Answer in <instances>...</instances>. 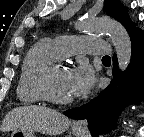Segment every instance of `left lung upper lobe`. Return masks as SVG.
I'll list each match as a JSON object with an SVG mask.
<instances>
[{"label":"left lung upper lobe","mask_w":144,"mask_h":137,"mask_svg":"<svg viewBox=\"0 0 144 137\" xmlns=\"http://www.w3.org/2000/svg\"><path fill=\"white\" fill-rule=\"evenodd\" d=\"M103 12L118 20L128 32L136 27L130 20L127 9L119 0H104Z\"/></svg>","instance_id":"1"}]
</instances>
